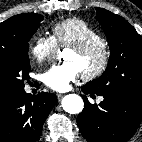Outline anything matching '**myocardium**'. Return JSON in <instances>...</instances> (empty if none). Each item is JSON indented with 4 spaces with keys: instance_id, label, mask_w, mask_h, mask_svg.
<instances>
[{
    "instance_id": "obj_1",
    "label": "myocardium",
    "mask_w": 142,
    "mask_h": 142,
    "mask_svg": "<svg viewBox=\"0 0 142 142\" xmlns=\"http://www.w3.org/2000/svg\"><path fill=\"white\" fill-rule=\"evenodd\" d=\"M69 48L81 56H88L96 52L100 53L101 55L100 62L96 68H94L91 71L81 73V77L84 80L86 81L94 80L100 77L106 71L110 62L111 53L105 41L89 42V43L70 46Z\"/></svg>"
}]
</instances>
